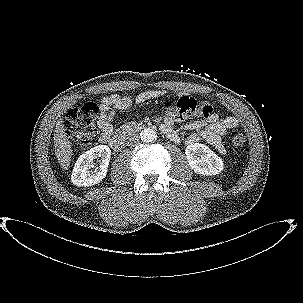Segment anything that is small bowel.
Returning <instances> with one entry per match:
<instances>
[{"instance_id": "1", "label": "small bowel", "mask_w": 303, "mask_h": 303, "mask_svg": "<svg viewBox=\"0 0 303 303\" xmlns=\"http://www.w3.org/2000/svg\"><path fill=\"white\" fill-rule=\"evenodd\" d=\"M169 94L167 90H147L139 93L135 102L137 104L146 103L149 100L165 97ZM132 104V100L128 96H121L119 94H112L102 98L99 105V115L97 125L100 129L98 140L102 143L108 144L112 138L113 128L110 124L111 119L115 115V109L125 110ZM201 119L188 122L182 126L183 130H200L198 135H191L187 141L197 142L200 140L206 141L219 153L225 152L222 144V136L228 129L235 128L239 125L240 121L236 116H228L220 118L218 114L212 111V107L207 102H202L200 107ZM182 120L173 114L164 117L162 122V130L164 132H173L174 137L169 138L174 142L180 140L178 131L174 128L176 121Z\"/></svg>"}]
</instances>
